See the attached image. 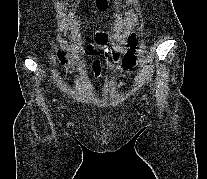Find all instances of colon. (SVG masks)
I'll list each match as a JSON object with an SVG mask.
<instances>
[{
	"instance_id": "obj_1",
	"label": "colon",
	"mask_w": 207,
	"mask_h": 179,
	"mask_svg": "<svg viewBox=\"0 0 207 179\" xmlns=\"http://www.w3.org/2000/svg\"><path fill=\"white\" fill-rule=\"evenodd\" d=\"M109 5V0H94L92 5L93 11H104L107 9ZM94 42L103 45L104 47L109 46L110 37L105 32H97L93 37ZM136 42V37L132 36L130 38V44H134ZM92 45H90L91 48ZM124 66L125 68H133L136 65V58L132 50H130L124 58ZM94 68L98 69L100 66V59H96L94 61Z\"/></svg>"
}]
</instances>
